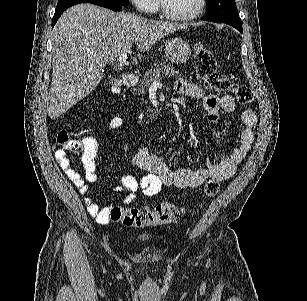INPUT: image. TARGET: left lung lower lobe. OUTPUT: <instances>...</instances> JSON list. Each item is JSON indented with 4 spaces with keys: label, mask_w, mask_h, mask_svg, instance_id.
<instances>
[{
    "label": "left lung lower lobe",
    "mask_w": 307,
    "mask_h": 301,
    "mask_svg": "<svg viewBox=\"0 0 307 301\" xmlns=\"http://www.w3.org/2000/svg\"><path fill=\"white\" fill-rule=\"evenodd\" d=\"M242 33V26L235 27Z\"/></svg>",
    "instance_id": "obj_1"
}]
</instances>
